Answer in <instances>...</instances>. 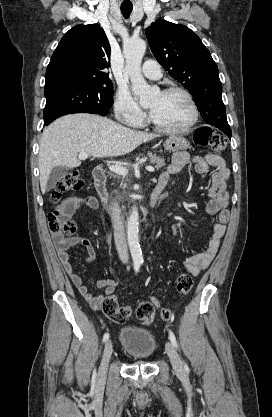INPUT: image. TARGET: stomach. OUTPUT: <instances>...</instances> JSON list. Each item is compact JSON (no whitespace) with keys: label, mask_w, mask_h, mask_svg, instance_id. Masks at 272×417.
I'll list each match as a JSON object with an SVG mask.
<instances>
[{"label":"stomach","mask_w":272,"mask_h":417,"mask_svg":"<svg viewBox=\"0 0 272 417\" xmlns=\"http://www.w3.org/2000/svg\"><path fill=\"white\" fill-rule=\"evenodd\" d=\"M189 146V142L182 136H172L164 142V148L169 152L186 150Z\"/></svg>","instance_id":"1"}]
</instances>
